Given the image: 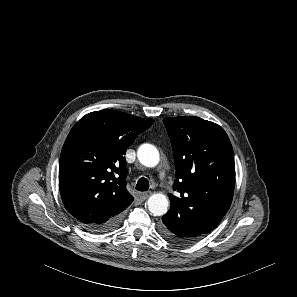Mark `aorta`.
Wrapping results in <instances>:
<instances>
[{
    "label": "aorta",
    "instance_id": "obj_1",
    "mask_svg": "<svg viewBox=\"0 0 297 297\" xmlns=\"http://www.w3.org/2000/svg\"><path fill=\"white\" fill-rule=\"evenodd\" d=\"M137 157L141 164L146 167H155L159 162V152L151 144H142L137 151ZM168 199L162 193H156L148 199V209L154 216H162L168 210Z\"/></svg>",
    "mask_w": 297,
    "mask_h": 297
}]
</instances>
